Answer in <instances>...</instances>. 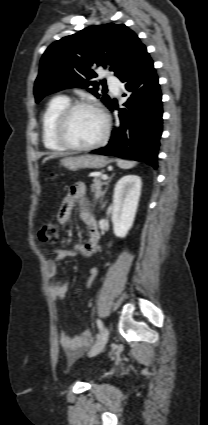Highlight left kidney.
Returning a JSON list of instances; mask_svg holds the SVG:
<instances>
[{"label": "left kidney", "instance_id": "left-kidney-1", "mask_svg": "<svg viewBox=\"0 0 208 425\" xmlns=\"http://www.w3.org/2000/svg\"><path fill=\"white\" fill-rule=\"evenodd\" d=\"M141 178L137 175L123 176L115 185L112 204L114 234L124 238L131 229L141 195Z\"/></svg>", "mask_w": 208, "mask_h": 425}]
</instances>
